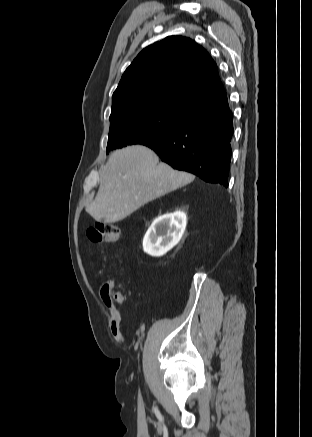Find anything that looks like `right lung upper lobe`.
<instances>
[{
	"label": "right lung upper lobe",
	"mask_w": 312,
	"mask_h": 437,
	"mask_svg": "<svg viewBox=\"0 0 312 437\" xmlns=\"http://www.w3.org/2000/svg\"><path fill=\"white\" fill-rule=\"evenodd\" d=\"M225 94L207 51L189 38L169 36L146 47L126 69L113 93L112 111L162 102L194 112Z\"/></svg>",
	"instance_id": "obj_1"
}]
</instances>
